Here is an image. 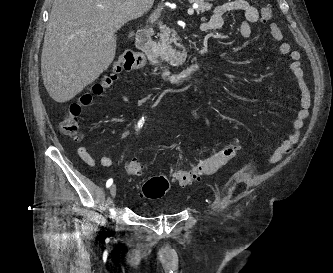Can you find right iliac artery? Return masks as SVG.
Returning <instances> with one entry per match:
<instances>
[{"mask_svg":"<svg viewBox=\"0 0 333 273\" xmlns=\"http://www.w3.org/2000/svg\"><path fill=\"white\" fill-rule=\"evenodd\" d=\"M143 123H144V117H142V119L138 122V128H141L143 126ZM113 183V180L112 179H109L107 182H106V187H110Z\"/></svg>","mask_w":333,"mask_h":273,"instance_id":"1","label":"right iliac artery"}]
</instances>
